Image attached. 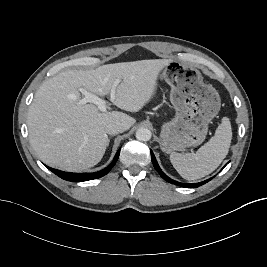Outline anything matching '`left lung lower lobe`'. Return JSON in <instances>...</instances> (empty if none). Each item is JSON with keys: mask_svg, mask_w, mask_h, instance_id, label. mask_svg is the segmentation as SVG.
I'll return each instance as SVG.
<instances>
[{"mask_svg": "<svg viewBox=\"0 0 267 267\" xmlns=\"http://www.w3.org/2000/svg\"><path fill=\"white\" fill-rule=\"evenodd\" d=\"M151 160H152V163H153V166L154 168L156 169V171L160 174V176L166 180L167 182L169 183H172V184H175V185H178V186H181V187H186V188H196V187H199L201 185H203L204 183L210 181L212 178L206 180V181H203V182H199V183H192V184H184V183H180V182H177L171 178H169L159 167L157 161H156V158L154 156V153L152 152L151 150Z\"/></svg>", "mask_w": 267, "mask_h": 267, "instance_id": "0a47b994", "label": "left lung lower lobe"}]
</instances>
